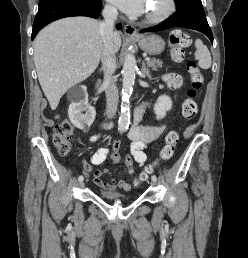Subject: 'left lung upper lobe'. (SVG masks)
<instances>
[{"label": "left lung upper lobe", "instance_id": "left-lung-upper-lobe-1", "mask_svg": "<svg viewBox=\"0 0 248 258\" xmlns=\"http://www.w3.org/2000/svg\"><path fill=\"white\" fill-rule=\"evenodd\" d=\"M176 11H188L194 8H203L201 0H174Z\"/></svg>", "mask_w": 248, "mask_h": 258}]
</instances>
